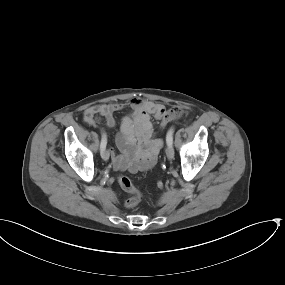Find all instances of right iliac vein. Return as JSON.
<instances>
[{"instance_id":"obj_1","label":"right iliac vein","mask_w":285,"mask_h":285,"mask_svg":"<svg viewBox=\"0 0 285 285\" xmlns=\"http://www.w3.org/2000/svg\"><path fill=\"white\" fill-rule=\"evenodd\" d=\"M101 157L104 161H108L109 160V157H110V154H109V151L107 149H104L102 152H101Z\"/></svg>"}]
</instances>
